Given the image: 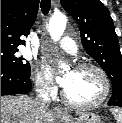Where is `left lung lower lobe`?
I'll return each instance as SVG.
<instances>
[{
	"label": "left lung lower lobe",
	"mask_w": 122,
	"mask_h": 123,
	"mask_svg": "<svg viewBox=\"0 0 122 123\" xmlns=\"http://www.w3.org/2000/svg\"><path fill=\"white\" fill-rule=\"evenodd\" d=\"M108 105L122 107V91L112 93V96L108 101Z\"/></svg>",
	"instance_id": "left-lung-lower-lobe-1"
}]
</instances>
